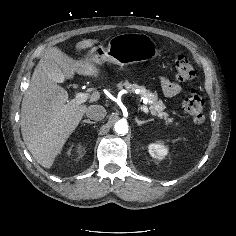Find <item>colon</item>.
<instances>
[{"mask_svg": "<svg viewBox=\"0 0 236 236\" xmlns=\"http://www.w3.org/2000/svg\"><path fill=\"white\" fill-rule=\"evenodd\" d=\"M175 70L176 77L180 82L190 81L195 76L194 67L183 55L176 58ZM182 106L184 111L195 123H202L204 121V101L195 90H192L188 96L183 99Z\"/></svg>", "mask_w": 236, "mask_h": 236, "instance_id": "1", "label": "colon"}]
</instances>
